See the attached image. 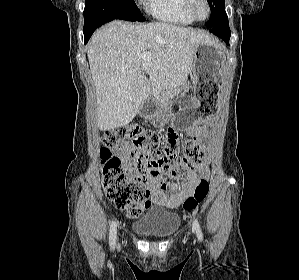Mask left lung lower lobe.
<instances>
[{
	"mask_svg": "<svg viewBox=\"0 0 299 280\" xmlns=\"http://www.w3.org/2000/svg\"><path fill=\"white\" fill-rule=\"evenodd\" d=\"M209 31L211 33L221 37L225 41V43L227 45H229V39H230L231 32H230V28H229L227 15H225L223 17L222 21L219 24L212 27Z\"/></svg>",
	"mask_w": 299,
	"mask_h": 280,
	"instance_id": "1",
	"label": "left lung lower lobe"
}]
</instances>
